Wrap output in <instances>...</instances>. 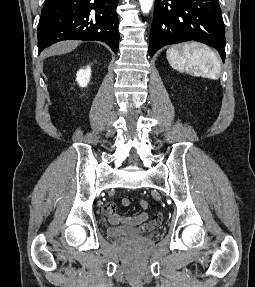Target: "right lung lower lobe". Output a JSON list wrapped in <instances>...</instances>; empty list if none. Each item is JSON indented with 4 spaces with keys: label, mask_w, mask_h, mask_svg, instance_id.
I'll return each instance as SVG.
<instances>
[{
    "label": "right lung lower lobe",
    "mask_w": 255,
    "mask_h": 287,
    "mask_svg": "<svg viewBox=\"0 0 255 287\" xmlns=\"http://www.w3.org/2000/svg\"><path fill=\"white\" fill-rule=\"evenodd\" d=\"M118 0H47L38 25L39 53L62 40H98L118 51Z\"/></svg>",
    "instance_id": "1"
}]
</instances>
